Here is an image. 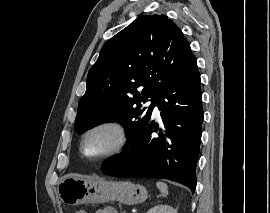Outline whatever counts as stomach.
Returning <instances> with one entry per match:
<instances>
[{
    "label": "stomach",
    "mask_w": 270,
    "mask_h": 213,
    "mask_svg": "<svg viewBox=\"0 0 270 213\" xmlns=\"http://www.w3.org/2000/svg\"><path fill=\"white\" fill-rule=\"evenodd\" d=\"M57 193L60 200L67 205L114 200L125 204H138L148 196L144 186L129 181H108L76 174L64 176L58 183Z\"/></svg>",
    "instance_id": "1"
}]
</instances>
